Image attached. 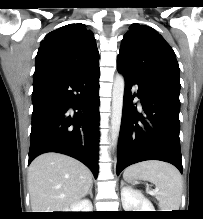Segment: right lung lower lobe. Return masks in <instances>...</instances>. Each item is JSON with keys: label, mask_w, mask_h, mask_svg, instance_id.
Masks as SVG:
<instances>
[{"label": "right lung lower lobe", "mask_w": 203, "mask_h": 219, "mask_svg": "<svg viewBox=\"0 0 203 219\" xmlns=\"http://www.w3.org/2000/svg\"><path fill=\"white\" fill-rule=\"evenodd\" d=\"M99 76L98 67L34 79L28 164L42 153H63L83 162L97 178Z\"/></svg>", "instance_id": "obj_1"}]
</instances>
